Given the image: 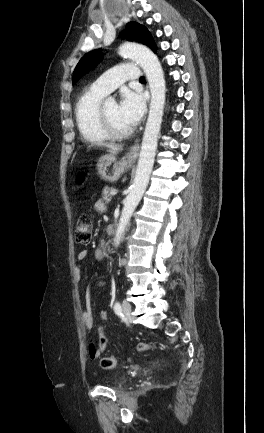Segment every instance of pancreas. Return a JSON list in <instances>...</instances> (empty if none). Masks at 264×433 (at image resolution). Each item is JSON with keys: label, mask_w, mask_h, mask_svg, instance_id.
<instances>
[{"label": "pancreas", "mask_w": 264, "mask_h": 433, "mask_svg": "<svg viewBox=\"0 0 264 433\" xmlns=\"http://www.w3.org/2000/svg\"><path fill=\"white\" fill-rule=\"evenodd\" d=\"M112 190H114L113 187H108V186H106V187L103 189V192H102V200H103V201H105V202H107V203L111 201V199H112V195L110 194V192H111Z\"/></svg>", "instance_id": "cf45deb5"}]
</instances>
